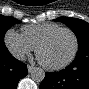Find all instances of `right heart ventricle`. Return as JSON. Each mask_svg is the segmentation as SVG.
<instances>
[{"mask_svg":"<svg viewBox=\"0 0 89 89\" xmlns=\"http://www.w3.org/2000/svg\"><path fill=\"white\" fill-rule=\"evenodd\" d=\"M61 27L57 23H40L25 25L21 28L22 35L36 48L39 41L49 32Z\"/></svg>","mask_w":89,"mask_h":89,"instance_id":"1","label":"right heart ventricle"}]
</instances>
